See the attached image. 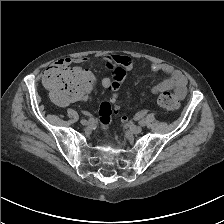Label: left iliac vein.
<instances>
[{
  "instance_id": "obj_1",
  "label": "left iliac vein",
  "mask_w": 224,
  "mask_h": 224,
  "mask_svg": "<svg viewBox=\"0 0 224 224\" xmlns=\"http://www.w3.org/2000/svg\"><path fill=\"white\" fill-rule=\"evenodd\" d=\"M141 131H142V128L140 126H133L131 128V132L134 134H139V133H141Z\"/></svg>"
}]
</instances>
